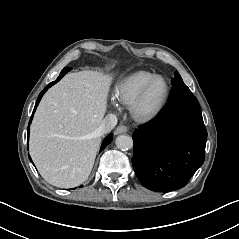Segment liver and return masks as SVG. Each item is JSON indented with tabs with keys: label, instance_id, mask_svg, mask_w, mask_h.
Instances as JSON below:
<instances>
[{
	"label": "liver",
	"instance_id": "liver-1",
	"mask_svg": "<svg viewBox=\"0 0 239 239\" xmlns=\"http://www.w3.org/2000/svg\"><path fill=\"white\" fill-rule=\"evenodd\" d=\"M108 81L97 73L66 75L43 97L30 134V154L42 177L60 188L89 176L101 142Z\"/></svg>",
	"mask_w": 239,
	"mask_h": 239
}]
</instances>
